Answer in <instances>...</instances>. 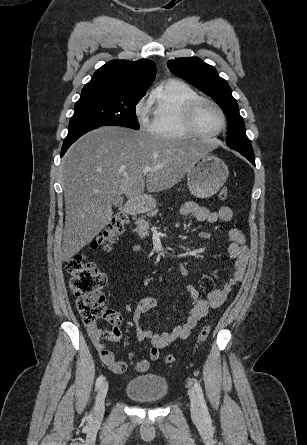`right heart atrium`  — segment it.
Masks as SVG:
<instances>
[{
    "instance_id": "1",
    "label": "right heart atrium",
    "mask_w": 307,
    "mask_h": 445,
    "mask_svg": "<svg viewBox=\"0 0 307 445\" xmlns=\"http://www.w3.org/2000/svg\"><path fill=\"white\" fill-rule=\"evenodd\" d=\"M146 101H147V100H143V102H142V106H143V108H144V106H145ZM137 119H138V122H139V124H140L141 126H145V125H146L147 119H146V117H145V113H144V111H142L140 114L137 115Z\"/></svg>"
}]
</instances>
